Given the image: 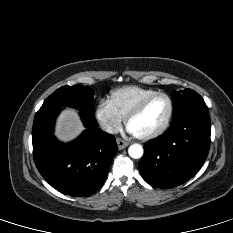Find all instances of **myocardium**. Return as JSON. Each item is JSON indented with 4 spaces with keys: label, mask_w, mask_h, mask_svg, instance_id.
<instances>
[{
    "label": "myocardium",
    "mask_w": 233,
    "mask_h": 233,
    "mask_svg": "<svg viewBox=\"0 0 233 233\" xmlns=\"http://www.w3.org/2000/svg\"><path fill=\"white\" fill-rule=\"evenodd\" d=\"M165 97L168 101V105H169V110H168V114L167 117L164 121V123L162 124V126L157 129L156 131L149 133V134H144V135H137L135 134V136L140 139V140H152L155 138H158L159 136H161L162 134H164L166 132V130L169 128L172 117H173V113H174V103L172 98L165 92H156L153 93L151 95H149L148 97L144 98L141 102H139L125 117V124L127 127H129V123L130 121L138 116L146 107L147 105L154 100L157 97Z\"/></svg>",
    "instance_id": "obj_1"
}]
</instances>
